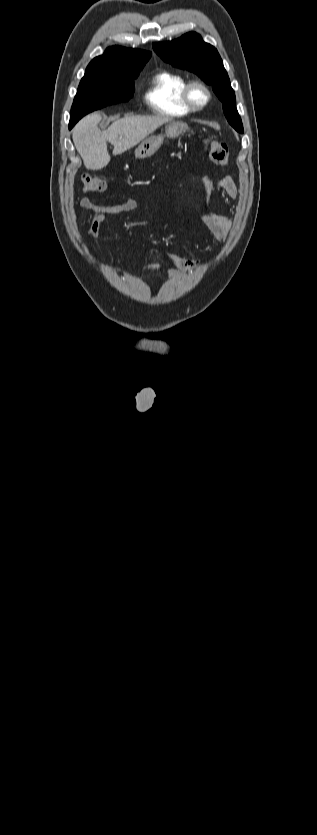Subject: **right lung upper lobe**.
<instances>
[{
	"label": "right lung upper lobe",
	"mask_w": 317,
	"mask_h": 835,
	"mask_svg": "<svg viewBox=\"0 0 317 835\" xmlns=\"http://www.w3.org/2000/svg\"><path fill=\"white\" fill-rule=\"evenodd\" d=\"M151 53L139 49L113 46L94 58L86 68L85 75L104 74L114 71L132 70L144 66Z\"/></svg>",
	"instance_id": "obj_1"
}]
</instances>
